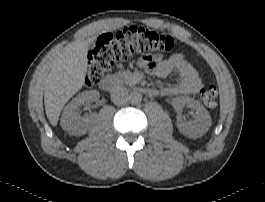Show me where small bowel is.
Here are the masks:
<instances>
[{
    "label": "small bowel",
    "instance_id": "obj_1",
    "mask_svg": "<svg viewBox=\"0 0 265 202\" xmlns=\"http://www.w3.org/2000/svg\"><path fill=\"white\" fill-rule=\"evenodd\" d=\"M173 71H177L179 82L165 89L168 95L195 94L202 87V80L197 69L182 54H175L167 59L159 60L149 72L151 75L165 79Z\"/></svg>",
    "mask_w": 265,
    "mask_h": 202
}]
</instances>
